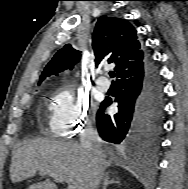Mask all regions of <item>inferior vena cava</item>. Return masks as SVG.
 Returning a JSON list of instances; mask_svg holds the SVG:
<instances>
[{"mask_svg":"<svg viewBox=\"0 0 188 189\" xmlns=\"http://www.w3.org/2000/svg\"><path fill=\"white\" fill-rule=\"evenodd\" d=\"M80 146L85 151L91 163L89 189H98L103 177V155L101 139L91 123H88L80 136Z\"/></svg>","mask_w":188,"mask_h":189,"instance_id":"602c4592","label":"inferior vena cava"}]
</instances>
